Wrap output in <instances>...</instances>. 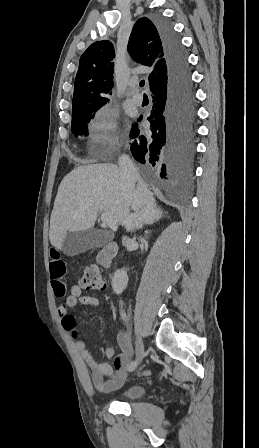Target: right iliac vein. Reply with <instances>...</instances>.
<instances>
[{
  "label": "right iliac vein",
  "mask_w": 259,
  "mask_h": 448,
  "mask_svg": "<svg viewBox=\"0 0 259 448\" xmlns=\"http://www.w3.org/2000/svg\"><path fill=\"white\" fill-rule=\"evenodd\" d=\"M145 356V352H144V345L142 342V339L140 337H137L136 339V358H137V362L141 363L143 358Z\"/></svg>",
  "instance_id": "right-iliac-vein-1"
}]
</instances>
